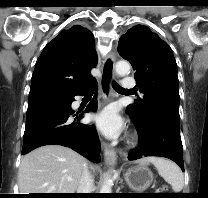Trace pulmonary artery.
<instances>
[{"mask_svg": "<svg viewBox=\"0 0 208 198\" xmlns=\"http://www.w3.org/2000/svg\"><path fill=\"white\" fill-rule=\"evenodd\" d=\"M122 85L125 89H132L135 87V81L131 77H126L123 79Z\"/></svg>", "mask_w": 208, "mask_h": 198, "instance_id": "1", "label": "pulmonary artery"}]
</instances>
